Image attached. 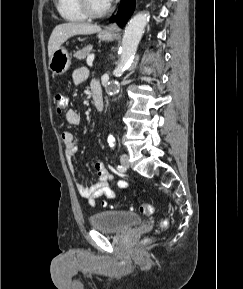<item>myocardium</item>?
Returning a JSON list of instances; mask_svg holds the SVG:
<instances>
[{
  "label": "myocardium",
  "instance_id": "1",
  "mask_svg": "<svg viewBox=\"0 0 243 289\" xmlns=\"http://www.w3.org/2000/svg\"><path fill=\"white\" fill-rule=\"evenodd\" d=\"M78 1H79V5H80L81 10L89 18L103 17V16L107 15L111 10L109 5L106 8H104L103 10H95L92 8L90 0H78Z\"/></svg>",
  "mask_w": 243,
  "mask_h": 289
}]
</instances>
